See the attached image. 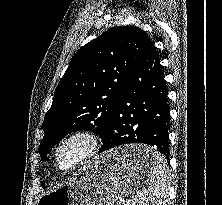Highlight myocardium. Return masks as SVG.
I'll list each match as a JSON object with an SVG mask.
<instances>
[{
  "mask_svg": "<svg viewBox=\"0 0 222 205\" xmlns=\"http://www.w3.org/2000/svg\"><path fill=\"white\" fill-rule=\"evenodd\" d=\"M79 141L83 144V150L78 156L76 160L68 165H62L60 163L59 154L61 149L68 143ZM99 145V137L98 135L89 129H77L65 137H63L55 146L53 152L54 163L56 167L63 171L73 170L77 167L81 166L85 163L88 159H90L95 152L97 151Z\"/></svg>",
  "mask_w": 222,
  "mask_h": 205,
  "instance_id": "f54148a6",
  "label": "myocardium"
}]
</instances>
